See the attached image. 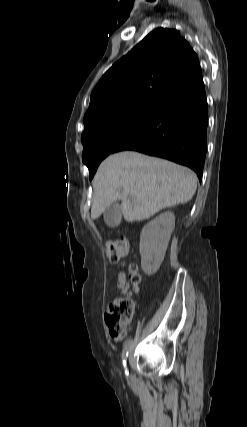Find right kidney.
Segmentation results:
<instances>
[{"label":"right kidney","instance_id":"ca27d5eb","mask_svg":"<svg viewBox=\"0 0 247 427\" xmlns=\"http://www.w3.org/2000/svg\"><path fill=\"white\" fill-rule=\"evenodd\" d=\"M175 216L167 211L146 224L140 234L141 267L145 274L153 275L159 269L174 230Z\"/></svg>","mask_w":247,"mask_h":427}]
</instances>
